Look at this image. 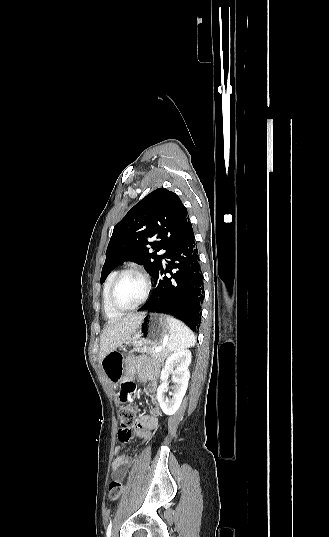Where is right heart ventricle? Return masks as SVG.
<instances>
[{"label": "right heart ventricle", "instance_id": "right-heart-ventricle-1", "mask_svg": "<svg viewBox=\"0 0 329 537\" xmlns=\"http://www.w3.org/2000/svg\"><path fill=\"white\" fill-rule=\"evenodd\" d=\"M118 274L117 271H112L108 277L106 278L105 280V283L103 285V290H102V307H103V310L105 312V315L109 318V319H114V318H118L121 313L115 311L111 306H110V303H109V291H110V287L112 285V282L114 280V278L116 277V275Z\"/></svg>", "mask_w": 329, "mask_h": 537}]
</instances>
